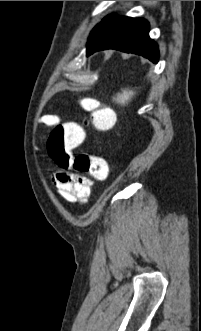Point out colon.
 <instances>
[{"mask_svg":"<svg viewBox=\"0 0 201 331\" xmlns=\"http://www.w3.org/2000/svg\"><path fill=\"white\" fill-rule=\"evenodd\" d=\"M81 107L90 114V123L94 130L104 132L115 126L116 114L108 106L85 98L81 100ZM84 140L85 132L80 125L72 122L59 123L49 135L48 153L63 170L89 174L99 182L106 181L109 168L103 158L88 153L70 155L69 150L79 146Z\"/></svg>","mask_w":201,"mask_h":331,"instance_id":"colon-1","label":"colon"}]
</instances>
